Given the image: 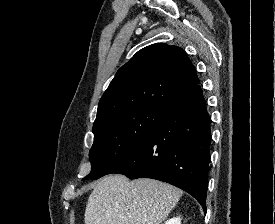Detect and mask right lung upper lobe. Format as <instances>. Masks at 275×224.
I'll use <instances>...</instances> for the list:
<instances>
[{
	"instance_id": "right-lung-upper-lobe-1",
	"label": "right lung upper lobe",
	"mask_w": 275,
	"mask_h": 224,
	"mask_svg": "<svg viewBox=\"0 0 275 224\" xmlns=\"http://www.w3.org/2000/svg\"><path fill=\"white\" fill-rule=\"evenodd\" d=\"M199 82L192 62L181 48L163 43L147 46L116 73L100 99L94 126L142 107L167 110Z\"/></svg>"
}]
</instances>
